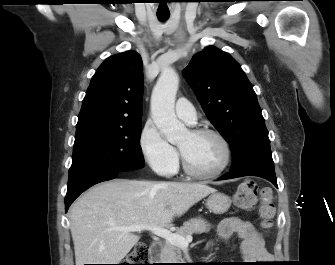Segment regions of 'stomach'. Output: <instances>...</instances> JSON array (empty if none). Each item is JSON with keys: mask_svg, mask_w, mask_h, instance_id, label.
Here are the masks:
<instances>
[{"mask_svg": "<svg viewBox=\"0 0 335 265\" xmlns=\"http://www.w3.org/2000/svg\"><path fill=\"white\" fill-rule=\"evenodd\" d=\"M206 206L214 214H223L230 208L231 199L228 195L216 191L209 195Z\"/></svg>", "mask_w": 335, "mask_h": 265, "instance_id": "0dacf381", "label": "stomach"}]
</instances>
